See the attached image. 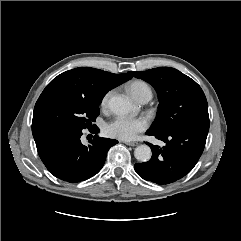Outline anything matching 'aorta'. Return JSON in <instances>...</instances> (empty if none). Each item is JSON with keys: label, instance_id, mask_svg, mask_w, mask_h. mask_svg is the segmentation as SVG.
I'll list each match as a JSON object with an SVG mask.
<instances>
[{"label": "aorta", "instance_id": "obj_1", "mask_svg": "<svg viewBox=\"0 0 241 241\" xmlns=\"http://www.w3.org/2000/svg\"><path fill=\"white\" fill-rule=\"evenodd\" d=\"M110 110L117 115H127L133 110L130 101L124 97L115 96L109 100ZM152 155L148 145H140L135 148L134 156L139 162H147Z\"/></svg>", "mask_w": 241, "mask_h": 241}]
</instances>
